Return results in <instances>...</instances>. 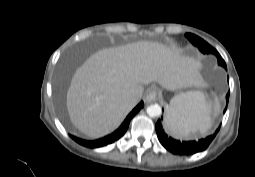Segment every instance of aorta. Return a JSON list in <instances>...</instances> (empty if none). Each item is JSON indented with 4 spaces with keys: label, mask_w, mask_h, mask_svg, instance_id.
Segmentation results:
<instances>
[{
    "label": "aorta",
    "mask_w": 255,
    "mask_h": 177,
    "mask_svg": "<svg viewBox=\"0 0 255 177\" xmlns=\"http://www.w3.org/2000/svg\"><path fill=\"white\" fill-rule=\"evenodd\" d=\"M146 112L150 117H158L161 115L162 110L158 104H151L147 107Z\"/></svg>",
    "instance_id": "aorta-1"
}]
</instances>
